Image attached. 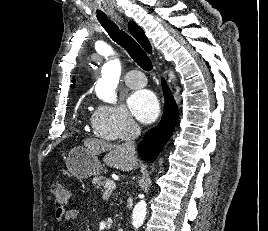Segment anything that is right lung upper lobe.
I'll list each match as a JSON object with an SVG mask.
<instances>
[{
    "label": "right lung upper lobe",
    "instance_id": "cb5924a9",
    "mask_svg": "<svg viewBox=\"0 0 268 231\" xmlns=\"http://www.w3.org/2000/svg\"><path fill=\"white\" fill-rule=\"evenodd\" d=\"M128 29L130 33L135 37V39L140 43V45L149 53L152 51L151 44L144 34V31L133 21L128 24ZM74 83V82H73Z\"/></svg>",
    "mask_w": 268,
    "mask_h": 231
}]
</instances>
